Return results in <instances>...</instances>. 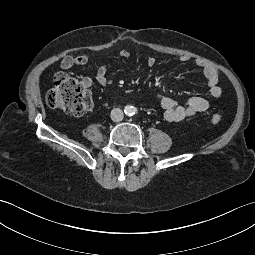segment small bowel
<instances>
[{
    "mask_svg": "<svg viewBox=\"0 0 255 255\" xmlns=\"http://www.w3.org/2000/svg\"><path fill=\"white\" fill-rule=\"evenodd\" d=\"M119 58L126 60L130 58V52L128 50H121L118 54ZM89 60V56L87 54H81L78 56H66L61 61V68L64 70L71 69L74 66H82L85 65ZM181 62H189L190 57L182 56L180 58ZM147 65L148 67H153L156 63V59L153 56L147 57ZM197 67L201 70L202 74L204 75L209 93L211 96L218 98L222 94V90L218 84L219 81V70L212 65L204 62L201 59L195 61ZM109 71L108 64H102L96 71L94 79L91 78H84L83 84L86 87L92 86L93 82H97L102 86H106L109 84V80L107 77ZM158 104L162 108L164 112V117L168 121L178 122L194 115L206 111L210 103L209 101L201 96H193L186 100L185 103L179 104L174 99L164 96L158 95Z\"/></svg>",
    "mask_w": 255,
    "mask_h": 255,
    "instance_id": "c3829d8e",
    "label": "small bowel"
}]
</instances>
